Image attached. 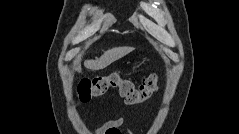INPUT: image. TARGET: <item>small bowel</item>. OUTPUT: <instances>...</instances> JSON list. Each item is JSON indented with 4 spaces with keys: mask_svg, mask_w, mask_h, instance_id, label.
<instances>
[{
    "mask_svg": "<svg viewBox=\"0 0 239 134\" xmlns=\"http://www.w3.org/2000/svg\"><path fill=\"white\" fill-rule=\"evenodd\" d=\"M124 119L122 116H117L98 127L95 130V134H122L121 126L123 125ZM132 130L128 129V134H132Z\"/></svg>",
    "mask_w": 239,
    "mask_h": 134,
    "instance_id": "c3829d8e",
    "label": "small bowel"
}]
</instances>
